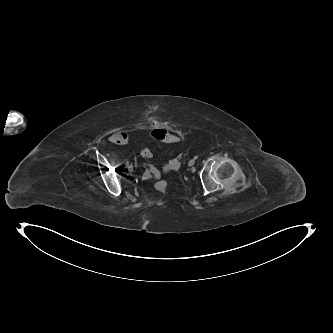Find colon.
I'll use <instances>...</instances> for the list:
<instances>
[{"mask_svg": "<svg viewBox=\"0 0 333 333\" xmlns=\"http://www.w3.org/2000/svg\"><path fill=\"white\" fill-rule=\"evenodd\" d=\"M152 136L155 141L160 143H174L181 139L179 135L164 129L154 130ZM141 155L147 162H149V160L153 157V152L151 149L145 148L142 150ZM147 173L150 177H153L157 180V182L155 183V189L157 192L161 194H165L168 192V181L159 176V174L157 173V168L151 163H148Z\"/></svg>", "mask_w": 333, "mask_h": 333, "instance_id": "obj_1", "label": "colon"}]
</instances>
